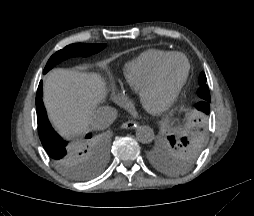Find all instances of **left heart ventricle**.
I'll use <instances>...</instances> for the list:
<instances>
[{
    "mask_svg": "<svg viewBox=\"0 0 254 216\" xmlns=\"http://www.w3.org/2000/svg\"><path fill=\"white\" fill-rule=\"evenodd\" d=\"M185 70V61L175 58L163 69L157 85L145 96V104L154 108L163 103L169 92L181 79Z\"/></svg>",
    "mask_w": 254,
    "mask_h": 216,
    "instance_id": "left-heart-ventricle-1",
    "label": "left heart ventricle"
}]
</instances>
